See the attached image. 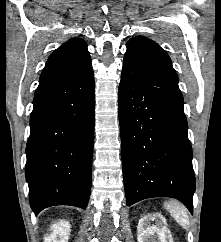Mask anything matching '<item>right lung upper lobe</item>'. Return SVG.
I'll return each mask as SVG.
<instances>
[{"label":"right lung upper lobe","instance_id":"1","mask_svg":"<svg viewBox=\"0 0 221 242\" xmlns=\"http://www.w3.org/2000/svg\"><path fill=\"white\" fill-rule=\"evenodd\" d=\"M92 71L86 42L72 38L48 58L35 94L70 85Z\"/></svg>","mask_w":221,"mask_h":242}]
</instances>
